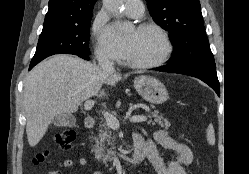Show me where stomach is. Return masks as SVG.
<instances>
[{
  "mask_svg": "<svg viewBox=\"0 0 249 174\" xmlns=\"http://www.w3.org/2000/svg\"><path fill=\"white\" fill-rule=\"evenodd\" d=\"M134 87L146 101L153 104H162L169 98L166 87L153 77L140 76L136 78Z\"/></svg>",
  "mask_w": 249,
  "mask_h": 174,
  "instance_id": "1",
  "label": "stomach"
}]
</instances>
